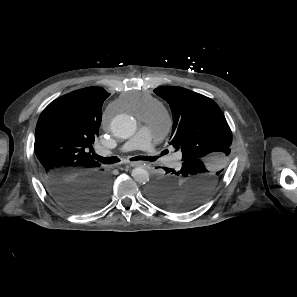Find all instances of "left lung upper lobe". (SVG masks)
I'll use <instances>...</instances> for the list:
<instances>
[{
    "instance_id": "5c2ea615",
    "label": "left lung upper lobe",
    "mask_w": 297,
    "mask_h": 297,
    "mask_svg": "<svg viewBox=\"0 0 297 297\" xmlns=\"http://www.w3.org/2000/svg\"><path fill=\"white\" fill-rule=\"evenodd\" d=\"M154 92L167 101L173 115L170 145L182 152V167L158 180L148 197L169 210L187 211L204 202L223 178L232 133L219 106L210 98L181 87Z\"/></svg>"
}]
</instances>
